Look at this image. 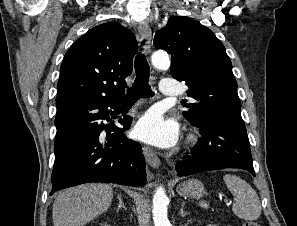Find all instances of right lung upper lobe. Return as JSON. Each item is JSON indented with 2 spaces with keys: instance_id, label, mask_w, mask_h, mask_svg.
<instances>
[{
  "instance_id": "cb5924a9",
  "label": "right lung upper lobe",
  "mask_w": 297,
  "mask_h": 226,
  "mask_svg": "<svg viewBox=\"0 0 297 226\" xmlns=\"http://www.w3.org/2000/svg\"><path fill=\"white\" fill-rule=\"evenodd\" d=\"M137 42L116 22L93 27L65 54L57 85V109L83 101L121 100L132 73Z\"/></svg>"
}]
</instances>
